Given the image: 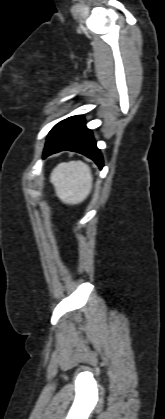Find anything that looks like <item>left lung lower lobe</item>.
I'll return each instance as SVG.
<instances>
[{"mask_svg": "<svg viewBox=\"0 0 165 419\" xmlns=\"http://www.w3.org/2000/svg\"><path fill=\"white\" fill-rule=\"evenodd\" d=\"M63 150L81 153L94 160L100 169L103 167L102 154L82 115L69 117L53 127L47 137L43 158Z\"/></svg>", "mask_w": 165, "mask_h": 419, "instance_id": "left-lung-lower-lobe-1", "label": "left lung lower lobe"}]
</instances>
